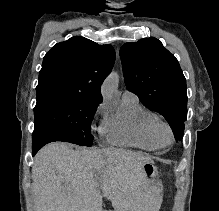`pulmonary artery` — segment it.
Here are the masks:
<instances>
[{
  "label": "pulmonary artery",
  "instance_id": "e3ab8cb5",
  "mask_svg": "<svg viewBox=\"0 0 219 211\" xmlns=\"http://www.w3.org/2000/svg\"><path fill=\"white\" fill-rule=\"evenodd\" d=\"M122 99H137V96L128 90H125L122 94Z\"/></svg>",
  "mask_w": 219,
  "mask_h": 211
}]
</instances>
